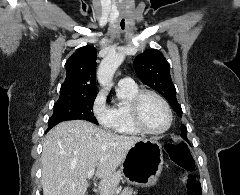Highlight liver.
<instances>
[{
	"label": "liver",
	"mask_w": 240,
	"mask_h": 195,
	"mask_svg": "<svg viewBox=\"0 0 240 195\" xmlns=\"http://www.w3.org/2000/svg\"><path fill=\"white\" fill-rule=\"evenodd\" d=\"M140 139L110 133L85 119L61 121L44 137L43 195H85L88 177L93 175L99 179L101 195H111L121 179L117 167ZM91 169L96 173L89 175Z\"/></svg>",
	"instance_id": "6515ba94"
}]
</instances>
